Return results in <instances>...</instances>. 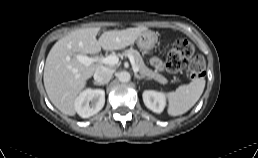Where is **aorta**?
Listing matches in <instances>:
<instances>
[{
	"mask_svg": "<svg viewBox=\"0 0 258 158\" xmlns=\"http://www.w3.org/2000/svg\"><path fill=\"white\" fill-rule=\"evenodd\" d=\"M118 79H119V81L122 82V83H127V82H129L130 79H131L130 73L127 72V71H121V72H119V74H118Z\"/></svg>",
	"mask_w": 258,
	"mask_h": 158,
	"instance_id": "762f6f07",
	"label": "aorta"
}]
</instances>
